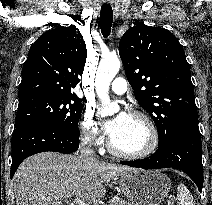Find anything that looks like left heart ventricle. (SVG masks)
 Instances as JSON below:
<instances>
[{"label": "left heart ventricle", "mask_w": 212, "mask_h": 205, "mask_svg": "<svg viewBox=\"0 0 212 205\" xmlns=\"http://www.w3.org/2000/svg\"><path fill=\"white\" fill-rule=\"evenodd\" d=\"M111 140L121 151L136 152L143 149L148 142L147 128L141 120L128 116Z\"/></svg>", "instance_id": "b2bd125f"}]
</instances>
